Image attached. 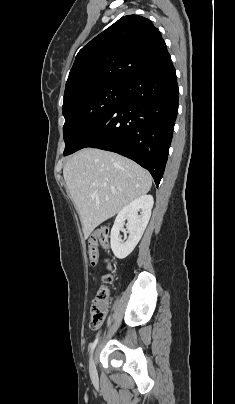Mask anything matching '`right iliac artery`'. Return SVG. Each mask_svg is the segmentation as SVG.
I'll return each instance as SVG.
<instances>
[{"mask_svg":"<svg viewBox=\"0 0 235 404\" xmlns=\"http://www.w3.org/2000/svg\"><path fill=\"white\" fill-rule=\"evenodd\" d=\"M97 342H98V337L95 339L94 342H92V343L89 345L90 353H91V354L93 353V350H94V348H95Z\"/></svg>","mask_w":235,"mask_h":404,"instance_id":"1","label":"right iliac artery"}]
</instances>
